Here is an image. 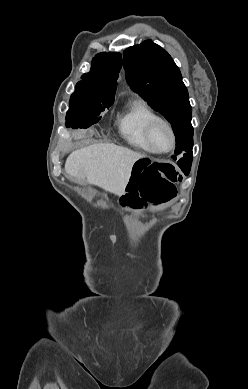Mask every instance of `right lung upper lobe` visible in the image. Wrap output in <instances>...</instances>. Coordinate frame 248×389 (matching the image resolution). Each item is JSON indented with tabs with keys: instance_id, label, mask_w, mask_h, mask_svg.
<instances>
[{
	"instance_id": "obj_1",
	"label": "right lung upper lobe",
	"mask_w": 248,
	"mask_h": 389,
	"mask_svg": "<svg viewBox=\"0 0 248 389\" xmlns=\"http://www.w3.org/2000/svg\"><path fill=\"white\" fill-rule=\"evenodd\" d=\"M122 66L120 53H100L92 61L91 71L79 83L88 91L115 95L117 78Z\"/></svg>"
}]
</instances>
